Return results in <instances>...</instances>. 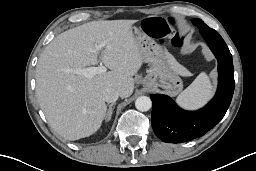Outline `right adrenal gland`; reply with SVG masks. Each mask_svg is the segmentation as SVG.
<instances>
[{
  "instance_id": "right-adrenal-gland-1",
  "label": "right adrenal gland",
  "mask_w": 256,
  "mask_h": 171,
  "mask_svg": "<svg viewBox=\"0 0 256 171\" xmlns=\"http://www.w3.org/2000/svg\"><path fill=\"white\" fill-rule=\"evenodd\" d=\"M115 105V103H112L109 105V109L107 111V113L105 114V122L110 121L112 113H113V106Z\"/></svg>"
}]
</instances>
